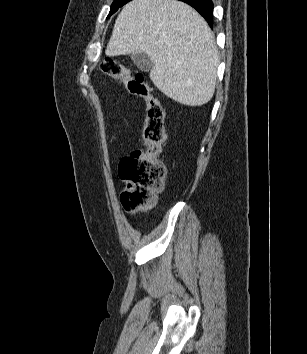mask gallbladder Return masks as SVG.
Wrapping results in <instances>:
<instances>
[{
  "instance_id": "obj_1",
  "label": "gallbladder",
  "mask_w": 307,
  "mask_h": 354,
  "mask_svg": "<svg viewBox=\"0 0 307 354\" xmlns=\"http://www.w3.org/2000/svg\"><path fill=\"white\" fill-rule=\"evenodd\" d=\"M131 60L137 66L138 69L144 72L150 71L153 65L150 57L143 52L133 53L131 55Z\"/></svg>"
}]
</instances>
